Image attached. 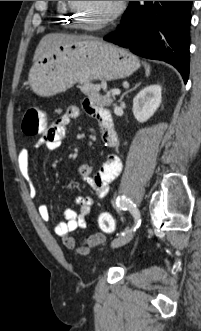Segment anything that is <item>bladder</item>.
<instances>
[{"mask_svg":"<svg viewBox=\"0 0 201 331\" xmlns=\"http://www.w3.org/2000/svg\"><path fill=\"white\" fill-rule=\"evenodd\" d=\"M108 263V260L106 258H102L100 261H99V264H107Z\"/></svg>","mask_w":201,"mask_h":331,"instance_id":"31cf9c89","label":"bladder"}]
</instances>
